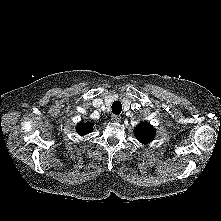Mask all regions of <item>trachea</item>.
<instances>
[{"label": "trachea", "mask_w": 221, "mask_h": 221, "mask_svg": "<svg viewBox=\"0 0 221 221\" xmlns=\"http://www.w3.org/2000/svg\"><path fill=\"white\" fill-rule=\"evenodd\" d=\"M122 111V104L120 101H115L113 102L112 104V112L115 114V115H119Z\"/></svg>", "instance_id": "trachea-1"}]
</instances>
